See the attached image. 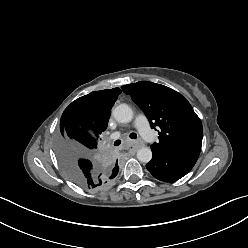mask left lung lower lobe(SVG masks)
Returning <instances> with one entry per match:
<instances>
[{
	"mask_svg": "<svg viewBox=\"0 0 248 248\" xmlns=\"http://www.w3.org/2000/svg\"><path fill=\"white\" fill-rule=\"evenodd\" d=\"M153 157L146 165L148 171L158 180L174 182L185 176L195 165L200 150L160 152L152 150Z\"/></svg>",
	"mask_w": 248,
	"mask_h": 248,
	"instance_id": "1",
	"label": "left lung lower lobe"
}]
</instances>
